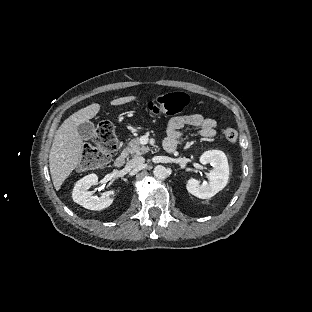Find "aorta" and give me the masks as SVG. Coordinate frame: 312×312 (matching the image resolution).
Masks as SVG:
<instances>
[{
  "label": "aorta",
  "instance_id": "1",
  "mask_svg": "<svg viewBox=\"0 0 312 312\" xmlns=\"http://www.w3.org/2000/svg\"><path fill=\"white\" fill-rule=\"evenodd\" d=\"M153 174L158 180H165L169 176V170L159 165L154 168Z\"/></svg>",
  "mask_w": 312,
  "mask_h": 312
}]
</instances>
